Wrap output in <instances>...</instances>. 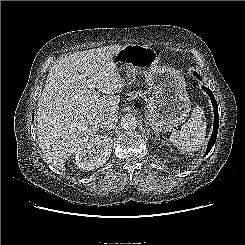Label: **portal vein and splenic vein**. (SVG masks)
I'll return each mask as SVG.
<instances>
[{"mask_svg": "<svg viewBox=\"0 0 245 245\" xmlns=\"http://www.w3.org/2000/svg\"><path fill=\"white\" fill-rule=\"evenodd\" d=\"M86 75H81L80 78L89 86V88H94L95 85L92 83L91 80L85 78Z\"/></svg>", "mask_w": 245, "mask_h": 245, "instance_id": "1", "label": "portal vein and splenic vein"}]
</instances>
